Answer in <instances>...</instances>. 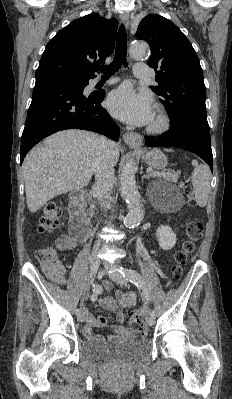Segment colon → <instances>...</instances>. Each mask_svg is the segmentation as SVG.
<instances>
[{"mask_svg":"<svg viewBox=\"0 0 232 399\" xmlns=\"http://www.w3.org/2000/svg\"><path fill=\"white\" fill-rule=\"evenodd\" d=\"M175 182L181 189L182 198L189 205H194L198 201V196L194 191V186L190 178L184 173H179L175 177ZM44 216L40 218V222L36 225V230L40 234L51 233L61 225V220L58 217L59 211L57 203L53 200H47L43 204ZM203 230V221L199 217H194L189 221V225H185V232L181 246L174 255V262L170 268V273L174 277H179L183 273V268L187 262H192L190 257L195 249V241L198 235H201ZM57 250L53 246H48L41 249L37 253V258L41 261V266L47 270L50 275L49 283H56L63 285L67 281V275L59 266V260L56 257ZM131 320H133V335H148V328H142L141 324H148L147 313H131Z\"/></svg>","mask_w":232,"mask_h":399,"instance_id":"1","label":"colon"}]
</instances>
